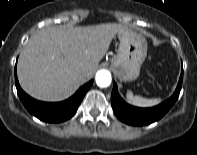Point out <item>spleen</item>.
Masks as SVG:
<instances>
[{
  "label": "spleen",
  "instance_id": "obj_1",
  "mask_svg": "<svg viewBox=\"0 0 197 155\" xmlns=\"http://www.w3.org/2000/svg\"><path fill=\"white\" fill-rule=\"evenodd\" d=\"M127 100L129 103L138 107H151L161 102V99H146L140 96H134L131 91L127 92Z\"/></svg>",
  "mask_w": 197,
  "mask_h": 155
}]
</instances>
